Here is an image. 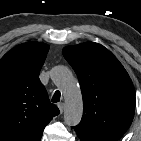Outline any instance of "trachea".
I'll list each match as a JSON object with an SVG mask.
<instances>
[{"label": "trachea", "instance_id": "3493384b", "mask_svg": "<svg viewBox=\"0 0 141 141\" xmlns=\"http://www.w3.org/2000/svg\"><path fill=\"white\" fill-rule=\"evenodd\" d=\"M60 97H61V94L59 91H55L53 97H52V102L56 103V102H59L60 101Z\"/></svg>", "mask_w": 141, "mask_h": 141}]
</instances>
